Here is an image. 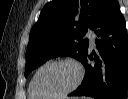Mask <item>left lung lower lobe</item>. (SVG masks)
<instances>
[{"instance_id":"obj_1","label":"left lung lower lobe","mask_w":128,"mask_h":99,"mask_svg":"<svg viewBox=\"0 0 128 99\" xmlns=\"http://www.w3.org/2000/svg\"><path fill=\"white\" fill-rule=\"evenodd\" d=\"M97 53L88 51L80 60L85 66L82 84L69 96L126 99L128 85V35L117 0H107L94 27ZM87 57L94 63H87Z\"/></svg>"}]
</instances>
